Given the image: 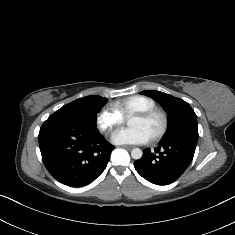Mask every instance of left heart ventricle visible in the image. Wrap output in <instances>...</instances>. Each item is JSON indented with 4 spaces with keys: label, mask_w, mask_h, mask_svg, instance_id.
<instances>
[{
    "label": "left heart ventricle",
    "mask_w": 235,
    "mask_h": 235,
    "mask_svg": "<svg viewBox=\"0 0 235 235\" xmlns=\"http://www.w3.org/2000/svg\"><path fill=\"white\" fill-rule=\"evenodd\" d=\"M161 126L162 121L159 117H154L149 121H145L134 116L129 123V127L143 129L150 138L160 130Z\"/></svg>",
    "instance_id": "1"
}]
</instances>
